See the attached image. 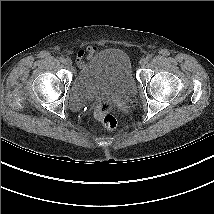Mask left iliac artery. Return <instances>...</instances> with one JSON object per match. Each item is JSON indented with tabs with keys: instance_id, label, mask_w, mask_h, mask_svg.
I'll return each mask as SVG.
<instances>
[{
	"instance_id": "44dca946",
	"label": "left iliac artery",
	"mask_w": 214,
	"mask_h": 214,
	"mask_svg": "<svg viewBox=\"0 0 214 214\" xmlns=\"http://www.w3.org/2000/svg\"><path fill=\"white\" fill-rule=\"evenodd\" d=\"M152 58V55L151 54H148L147 56H146V60H149V59H151Z\"/></svg>"
}]
</instances>
